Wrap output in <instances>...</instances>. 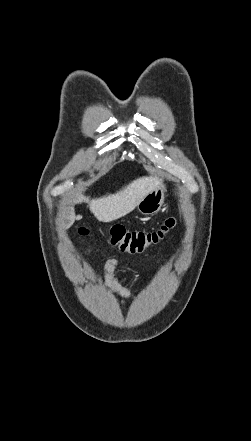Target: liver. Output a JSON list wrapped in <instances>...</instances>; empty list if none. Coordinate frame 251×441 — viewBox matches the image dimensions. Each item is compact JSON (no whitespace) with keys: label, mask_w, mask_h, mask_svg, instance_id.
<instances>
[{"label":"liver","mask_w":251,"mask_h":441,"mask_svg":"<svg viewBox=\"0 0 251 441\" xmlns=\"http://www.w3.org/2000/svg\"><path fill=\"white\" fill-rule=\"evenodd\" d=\"M160 184V179L157 177L145 176L137 178L115 194H109L101 198L90 200V211L99 221L111 222L117 220L132 212L139 202L148 193L159 187ZM83 199H85L83 196L79 197V200ZM68 219L69 223L67 224L66 229L74 223L75 219H81V216H75L73 209L71 208Z\"/></svg>","instance_id":"liver-1"}]
</instances>
